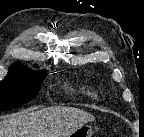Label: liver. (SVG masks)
Instances as JSON below:
<instances>
[{
  "label": "liver",
  "mask_w": 144,
  "mask_h": 137,
  "mask_svg": "<svg viewBox=\"0 0 144 137\" xmlns=\"http://www.w3.org/2000/svg\"><path fill=\"white\" fill-rule=\"evenodd\" d=\"M94 120L90 113L74 107L30 108L0 121V137H68Z\"/></svg>",
  "instance_id": "6515ba94"
}]
</instances>
